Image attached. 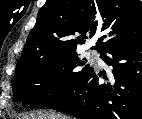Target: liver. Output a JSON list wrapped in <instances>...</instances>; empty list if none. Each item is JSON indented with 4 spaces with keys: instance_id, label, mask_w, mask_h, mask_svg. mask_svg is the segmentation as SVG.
<instances>
[{
    "instance_id": "liver-1",
    "label": "liver",
    "mask_w": 142,
    "mask_h": 119,
    "mask_svg": "<svg viewBox=\"0 0 142 119\" xmlns=\"http://www.w3.org/2000/svg\"><path fill=\"white\" fill-rule=\"evenodd\" d=\"M23 119H69L66 116L60 114H36L31 116H24Z\"/></svg>"
}]
</instances>
